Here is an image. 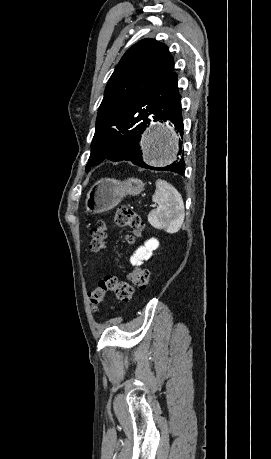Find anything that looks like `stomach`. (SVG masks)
I'll use <instances>...</instances> for the list:
<instances>
[{
  "label": "stomach",
  "instance_id": "0dacf381",
  "mask_svg": "<svg viewBox=\"0 0 271 459\" xmlns=\"http://www.w3.org/2000/svg\"><path fill=\"white\" fill-rule=\"evenodd\" d=\"M145 184L137 178H128L125 182L102 178L90 188L86 200V212L88 214H102L113 210L120 204L125 196H138L144 190Z\"/></svg>",
  "mask_w": 271,
  "mask_h": 459
}]
</instances>
